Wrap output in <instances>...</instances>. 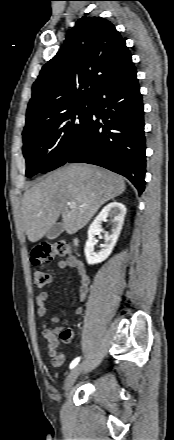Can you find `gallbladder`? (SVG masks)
<instances>
[{"mask_svg":"<svg viewBox=\"0 0 174 440\" xmlns=\"http://www.w3.org/2000/svg\"><path fill=\"white\" fill-rule=\"evenodd\" d=\"M62 232H63L62 224L57 222L48 230L46 236L49 240H53L57 238Z\"/></svg>","mask_w":174,"mask_h":440,"instance_id":"1","label":"gallbladder"}]
</instances>
